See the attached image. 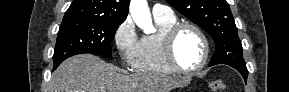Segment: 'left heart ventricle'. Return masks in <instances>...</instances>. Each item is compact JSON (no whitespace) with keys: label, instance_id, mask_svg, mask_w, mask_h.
Wrapping results in <instances>:
<instances>
[{"label":"left heart ventricle","instance_id":"b2bd125f","mask_svg":"<svg viewBox=\"0 0 289 92\" xmlns=\"http://www.w3.org/2000/svg\"><path fill=\"white\" fill-rule=\"evenodd\" d=\"M204 45L199 35L191 30H183L175 43V57L185 69L196 68L202 60Z\"/></svg>","mask_w":289,"mask_h":92}]
</instances>
